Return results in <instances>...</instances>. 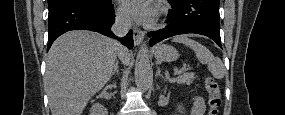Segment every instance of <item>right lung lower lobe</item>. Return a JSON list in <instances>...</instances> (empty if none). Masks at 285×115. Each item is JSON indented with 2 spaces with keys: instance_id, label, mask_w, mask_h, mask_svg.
<instances>
[{
  "instance_id": "right-lung-lower-lobe-1",
  "label": "right lung lower lobe",
  "mask_w": 285,
  "mask_h": 115,
  "mask_svg": "<svg viewBox=\"0 0 285 115\" xmlns=\"http://www.w3.org/2000/svg\"><path fill=\"white\" fill-rule=\"evenodd\" d=\"M115 21L111 0L106 4L93 5L79 0H68L49 8L48 46L61 34L70 30H91L109 37H115L111 26ZM120 41L123 45L133 47V36L130 31Z\"/></svg>"
}]
</instances>
